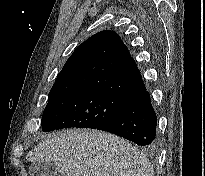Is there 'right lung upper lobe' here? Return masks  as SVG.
I'll list each match as a JSON object with an SVG mask.
<instances>
[{
	"label": "right lung upper lobe",
	"mask_w": 205,
	"mask_h": 176,
	"mask_svg": "<svg viewBox=\"0 0 205 176\" xmlns=\"http://www.w3.org/2000/svg\"><path fill=\"white\" fill-rule=\"evenodd\" d=\"M145 89L128 48L118 34L106 30L75 49L58 74L49 96L101 91L129 99Z\"/></svg>",
	"instance_id": "cb5924a9"
}]
</instances>
